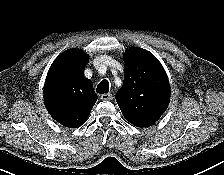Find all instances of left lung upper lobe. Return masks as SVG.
<instances>
[{"label": "left lung upper lobe", "mask_w": 224, "mask_h": 175, "mask_svg": "<svg viewBox=\"0 0 224 175\" xmlns=\"http://www.w3.org/2000/svg\"><path fill=\"white\" fill-rule=\"evenodd\" d=\"M124 60V83L116 101L131 124L151 126L169 104L170 85L165 70L150 52L141 48L129 49Z\"/></svg>", "instance_id": "obj_1"}]
</instances>
